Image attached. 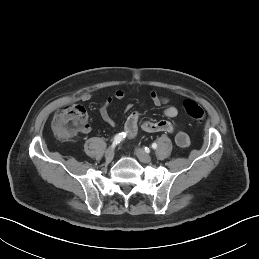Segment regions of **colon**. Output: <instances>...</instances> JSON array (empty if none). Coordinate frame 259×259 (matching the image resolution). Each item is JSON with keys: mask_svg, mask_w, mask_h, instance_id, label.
<instances>
[{"mask_svg": "<svg viewBox=\"0 0 259 259\" xmlns=\"http://www.w3.org/2000/svg\"><path fill=\"white\" fill-rule=\"evenodd\" d=\"M183 109L193 122L200 123L204 118L203 109L193 100L183 102ZM88 125V113L80 104H69L55 115L53 129L61 139H68Z\"/></svg>", "mask_w": 259, "mask_h": 259, "instance_id": "5ec220e1", "label": "colon"}]
</instances>
